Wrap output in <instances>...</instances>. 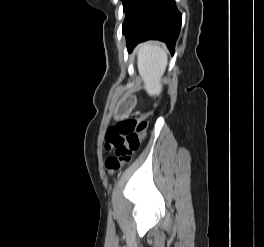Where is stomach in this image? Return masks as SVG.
<instances>
[{
  "instance_id": "0dacf381",
  "label": "stomach",
  "mask_w": 264,
  "mask_h": 247,
  "mask_svg": "<svg viewBox=\"0 0 264 247\" xmlns=\"http://www.w3.org/2000/svg\"><path fill=\"white\" fill-rule=\"evenodd\" d=\"M123 102L122 106L119 107L117 111L118 118H130L131 114L127 113L125 108H133V102H134V95L133 94H124L123 95Z\"/></svg>"
}]
</instances>
